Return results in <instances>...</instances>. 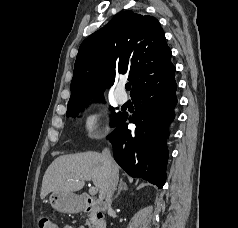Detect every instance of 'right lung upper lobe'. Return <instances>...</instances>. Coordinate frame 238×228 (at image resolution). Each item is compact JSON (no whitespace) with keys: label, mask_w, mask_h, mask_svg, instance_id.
<instances>
[{"label":"right lung upper lobe","mask_w":238,"mask_h":228,"mask_svg":"<svg viewBox=\"0 0 238 228\" xmlns=\"http://www.w3.org/2000/svg\"><path fill=\"white\" fill-rule=\"evenodd\" d=\"M164 32L157 19L132 11L116 15L80 45L69 104L86 105L110 88L120 74H129L131 96L153 82L173 75Z\"/></svg>","instance_id":"1"}]
</instances>
